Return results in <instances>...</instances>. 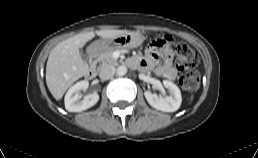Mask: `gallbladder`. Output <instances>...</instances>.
Wrapping results in <instances>:
<instances>
[{
	"mask_svg": "<svg viewBox=\"0 0 258 158\" xmlns=\"http://www.w3.org/2000/svg\"><path fill=\"white\" fill-rule=\"evenodd\" d=\"M80 55H81V58L83 59V61H87L88 60V56H87V54L86 53H84V52H81L80 53Z\"/></svg>",
	"mask_w": 258,
	"mask_h": 158,
	"instance_id": "bac80fb5",
	"label": "gallbladder"
}]
</instances>
